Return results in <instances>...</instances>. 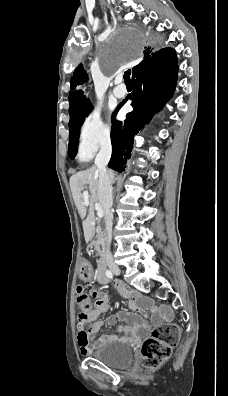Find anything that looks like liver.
Here are the masks:
<instances>
[{
    "instance_id": "1",
    "label": "liver",
    "mask_w": 228,
    "mask_h": 396,
    "mask_svg": "<svg viewBox=\"0 0 228 396\" xmlns=\"http://www.w3.org/2000/svg\"><path fill=\"white\" fill-rule=\"evenodd\" d=\"M111 181L114 178L112 171H108ZM99 171L96 166H92L87 170L77 172L70 177V187L72 191L73 200L78 213L83 220V227L85 230V238L89 241L93 236V206L94 202H99L102 207L99 192ZM88 186V187H87ZM88 188V201L84 198L82 190ZM89 206V215L85 220L87 214V207Z\"/></svg>"
}]
</instances>
